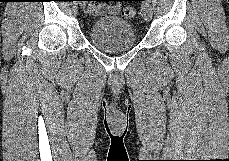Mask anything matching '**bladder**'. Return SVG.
<instances>
[{"label": "bladder", "mask_w": 229, "mask_h": 161, "mask_svg": "<svg viewBox=\"0 0 229 161\" xmlns=\"http://www.w3.org/2000/svg\"><path fill=\"white\" fill-rule=\"evenodd\" d=\"M89 39L105 51L125 50L135 46L136 32L129 22L120 17H101L91 25Z\"/></svg>", "instance_id": "31cf9c89"}]
</instances>
